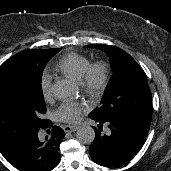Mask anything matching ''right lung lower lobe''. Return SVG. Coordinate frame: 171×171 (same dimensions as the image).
<instances>
[{"label": "right lung lower lobe", "mask_w": 171, "mask_h": 171, "mask_svg": "<svg viewBox=\"0 0 171 171\" xmlns=\"http://www.w3.org/2000/svg\"><path fill=\"white\" fill-rule=\"evenodd\" d=\"M51 126L48 123L43 128ZM64 136V131L58 126L52 128L50 137L45 141L39 140L37 132L6 160L21 171H50L60 161L59 144Z\"/></svg>", "instance_id": "obj_1"}]
</instances>
